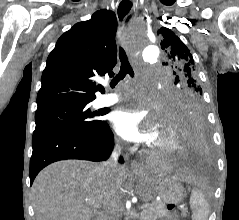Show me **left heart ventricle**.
Returning a JSON list of instances; mask_svg holds the SVG:
<instances>
[{
  "instance_id": "1",
  "label": "left heart ventricle",
  "mask_w": 239,
  "mask_h": 220,
  "mask_svg": "<svg viewBox=\"0 0 239 220\" xmlns=\"http://www.w3.org/2000/svg\"><path fill=\"white\" fill-rule=\"evenodd\" d=\"M166 134L163 130V127H158L156 130H155V133L153 135V138L152 140L150 141V143L152 144H162L166 141Z\"/></svg>"
}]
</instances>
